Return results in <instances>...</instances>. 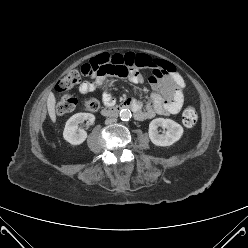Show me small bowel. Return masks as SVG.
<instances>
[{
	"instance_id": "1",
	"label": "small bowel",
	"mask_w": 248,
	"mask_h": 248,
	"mask_svg": "<svg viewBox=\"0 0 248 248\" xmlns=\"http://www.w3.org/2000/svg\"><path fill=\"white\" fill-rule=\"evenodd\" d=\"M114 56L120 62L121 67L127 71L129 80L134 84L145 82L141 70H148L151 73L148 82L153 89V94L146 109L142 110L141 104L133 100L139 107V112L136 114L138 120L149 119L157 115L177 114L181 110L184 102L185 83L173 65L143 53L128 52ZM107 77L108 73L93 75L91 80L80 83L79 92L87 94L102 90L104 105L112 106L115 103V98L104 88Z\"/></svg>"
}]
</instances>
